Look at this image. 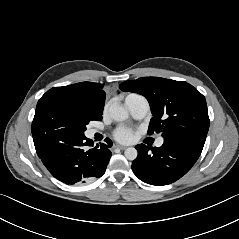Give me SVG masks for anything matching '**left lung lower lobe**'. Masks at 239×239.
Here are the masks:
<instances>
[{
  "instance_id": "obj_1",
  "label": "left lung lower lobe",
  "mask_w": 239,
  "mask_h": 239,
  "mask_svg": "<svg viewBox=\"0 0 239 239\" xmlns=\"http://www.w3.org/2000/svg\"><path fill=\"white\" fill-rule=\"evenodd\" d=\"M138 156L132 163L134 174L143 182L162 186L185 175L199 158L202 147L186 141L164 138L161 147L139 144Z\"/></svg>"
}]
</instances>
